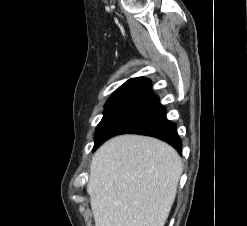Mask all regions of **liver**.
Listing matches in <instances>:
<instances>
[{"label":"liver","instance_id":"liver-1","mask_svg":"<svg viewBox=\"0 0 247 226\" xmlns=\"http://www.w3.org/2000/svg\"><path fill=\"white\" fill-rule=\"evenodd\" d=\"M181 174L179 154L158 139H110L90 165L87 192L95 226H164Z\"/></svg>","mask_w":247,"mask_h":226}]
</instances>
